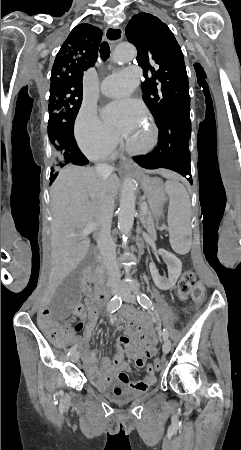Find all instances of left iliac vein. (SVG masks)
Instances as JSON below:
<instances>
[{
    "label": "left iliac vein",
    "instance_id": "left-iliac-vein-1",
    "mask_svg": "<svg viewBox=\"0 0 241 450\" xmlns=\"http://www.w3.org/2000/svg\"><path fill=\"white\" fill-rule=\"evenodd\" d=\"M123 300L128 302V303H135L136 299L135 296L131 293V292H124L123 294ZM171 345L169 340H165L164 344H163V352L164 354H168L170 351Z\"/></svg>",
    "mask_w": 241,
    "mask_h": 450
}]
</instances>
